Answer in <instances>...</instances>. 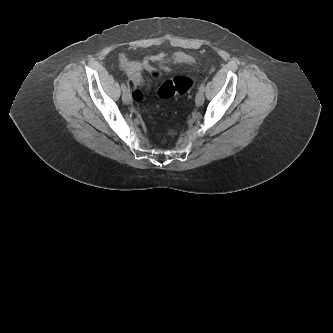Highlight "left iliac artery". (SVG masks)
Returning a JSON list of instances; mask_svg holds the SVG:
<instances>
[{
    "mask_svg": "<svg viewBox=\"0 0 333 333\" xmlns=\"http://www.w3.org/2000/svg\"><path fill=\"white\" fill-rule=\"evenodd\" d=\"M205 90V83H201V85L199 86V91L204 92Z\"/></svg>",
    "mask_w": 333,
    "mask_h": 333,
    "instance_id": "44dca946",
    "label": "left iliac artery"
}]
</instances>
